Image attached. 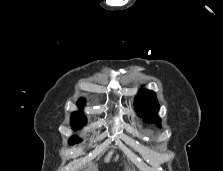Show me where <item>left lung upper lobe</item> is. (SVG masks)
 <instances>
[{
    "label": "left lung upper lobe",
    "mask_w": 223,
    "mask_h": 171,
    "mask_svg": "<svg viewBox=\"0 0 223 171\" xmlns=\"http://www.w3.org/2000/svg\"><path fill=\"white\" fill-rule=\"evenodd\" d=\"M135 108L139 116L143 117L148 123H154L161 127L159 117L153 116L159 110L156 94L151 90H140L134 101Z\"/></svg>",
    "instance_id": "obj_1"
}]
</instances>
